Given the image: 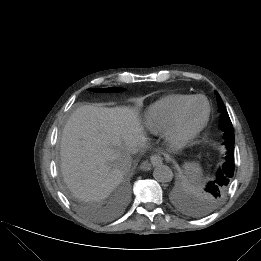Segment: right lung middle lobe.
I'll return each instance as SVG.
<instances>
[{
	"instance_id": "dd1d6c3e",
	"label": "right lung middle lobe",
	"mask_w": 261,
	"mask_h": 261,
	"mask_svg": "<svg viewBox=\"0 0 261 261\" xmlns=\"http://www.w3.org/2000/svg\"><path fill=\"white\" fill-rule=\"evenodd\" d=\"M94 92H119L124 91V88L111 87V88H102V89H89Z\"/></svg>"
}]
</instances>
